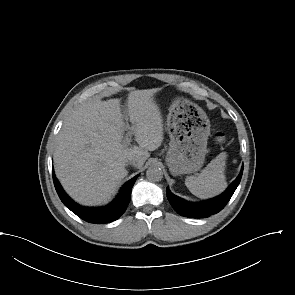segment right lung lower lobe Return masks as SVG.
Wrapping results in <instances>:
<instances>
[{
  "instance_id": "right-lung-lower-lobe-1",
  "label": "right lung lower lobe",
  "mask_w": 295,
  "mask_h": 295,
  "mask_svg": "<svg viewBox=\"0 0 295 295\" xmlns=\"http://www.w3.org/2000/svg\"><path fill=\"white\" fill-rule=\"evenodd\" d=\"M53 181L55 189L58 193L59 198L63 204L75 213L81 219L95 224H103L115 221L118 219L126 210L130 199H131V190L138 177L135 176L127 183L123 185L117 197L107 206L92 208V207H83L75 203L63 190L58 180L55 177L54 170L52 169Z\"/></svg>"
}]
</instances>
